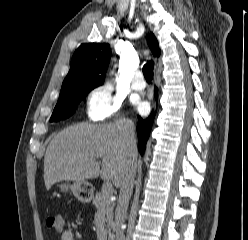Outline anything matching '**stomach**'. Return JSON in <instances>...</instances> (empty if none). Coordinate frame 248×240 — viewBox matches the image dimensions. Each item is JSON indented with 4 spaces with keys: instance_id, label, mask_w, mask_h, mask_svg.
I'll return each mask as SVG.
<instances>
[{
    "instance_id": "0dacf381",
    "label": "stomach",
    "mask_w": 248,
    "mask_h": 240,
    "mask_svg": "<svg viewBox=\"0 0 248 240\" xmlns=\"http://www.w3.org/2000/svg\"><path fill=\"white\" fill-rule=\"evenodd\" d=\"M61 193H68L71 191L73 195L81 202L88 203L93 196V188L87 181L61 182L58 185Z\"/></svg>"
}]
</instances>
